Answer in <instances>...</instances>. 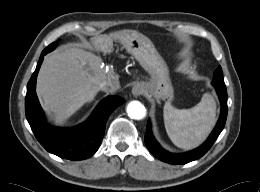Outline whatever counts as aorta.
<instances>
[{
	"instance_id": "aorta-1",
	"label": "aorta",
	"mask_w": 260,
	"mask_h": 192,
	"mask_svg": "<svg viewBox=\"0 0 260 192\" xmlns=\"http://www.w3.org/2000/svg\"><path fill=\"white\" fill-rule=\"evenodd\" d=\"M126 112L131 119L135 120H141L146 115V109L139 101H131L127 105Z\"/></svg>"
}]
</instances>
